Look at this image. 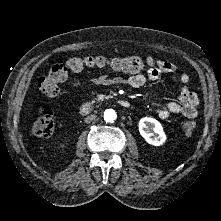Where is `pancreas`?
Listing matches in <instances>:
<instances>
[{
	"instance_id": "cf45deb5",
	"label": "pancreas",
	"mask_w": 221,
	"mask_h": 221,
	"mask_svg": "<svg viewBox=\"0 0 221 221\" xmlns=\"http://www.w3.org/2000/svg\"><path fill=\"white\" fill-rule=\"evenodd\" d=\"M110 98H112L111 95L100 94V95H97L96 101H103V100H107V99H110Z\"/></svg>"
}]
</instances>
